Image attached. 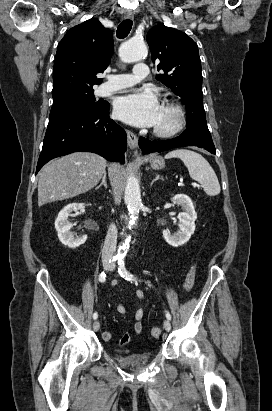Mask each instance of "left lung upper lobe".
Listing matches in <instances>:
<instances>
[{
  "mask_svg": "<svg viewBox=\"0 0 272 411\" xmlns=\"http://www.w3.org/2000/svg\"><path fill=\"white\" fill-rule=\"evenodd\" d=\"M146 39L152 61L164 72L156 79L178 95L186 106L187 127L207 126L197 44L186 33L164 25L150 29Z\"/></svg>",
  "mask_w": 272,
  "mask_h": 411,
  "instance_id": "5c2ea615",
  "label": "left lung upper lobe"
}]
</instances>
